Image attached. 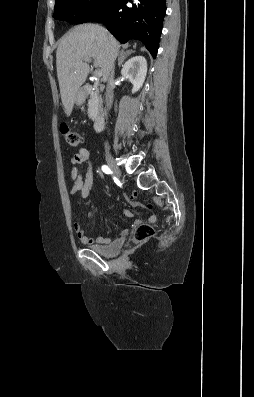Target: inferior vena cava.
Wrapping results in <instances>:
<instances>
[{"label":"inferior vena cava","instance_id":"inferior-vena-cava-1","mask_svg":"<svg viewBox=\"0 0 254 397\" xmlns=\"http://www.w3.org/2000/svg\"><path fill=\"white\" fill-rule=\"evenodd\" d=\"M113 82H114V64L109 68V74L107 78V87L105 93L106 110H110L113 103Z\"/></svg>","mask_w":254,"mask_h":397}]
</instances>
